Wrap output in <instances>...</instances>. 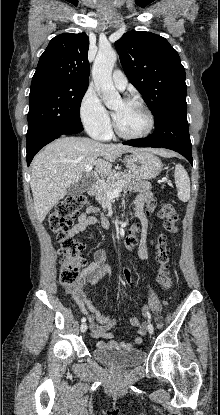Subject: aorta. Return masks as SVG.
<instances>
[{
    "label": "aorta",
    "mask_w": 220,
    "mask_h": 415,
    "mask_svg": "<svg viewBox=\"0 0 220 415\" xmlns=\"http://www.w3.org/2000/svg\"><path fill=\"white\" fill-rule=\"evenodd\" d=\"M116 60L117 53L113 49H99L92 69L95 87L107 107H111L121 100L112 81V70Z\"/></svg>",
    "instance_id": "obj_1"
}]
</instances>
